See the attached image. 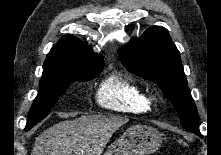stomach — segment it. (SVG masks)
Segmentation results:
<instances>
[{
  "instance_id": "1",
  "label": "stomach",
  "mask_w": 221,
  "mask_h": 155,
  "mask_svg": "<svg viewBox=\"0 0 221 155\" xmlns=\"http://www.w3.org/2000/svg\"><path fill=\"white\" fill-rule=\"evenodd\" d=\"M161 142L157 129L135 125L113 142L103 155H150L159 149Z\"/></svg>"
}]
</instances>
